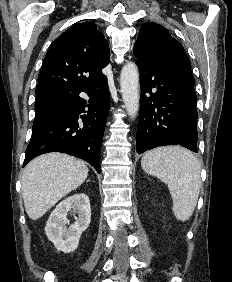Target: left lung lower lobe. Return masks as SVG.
I'll return each instance as SVG.
<instances>
[{"label":"left lung lower lobe","mask_w":232,"mask_h":282,"mask_svg":"<svg viewBox=\"0 0 232 282\" xmlns=\"http://www.w3.org/2000/svg\"><path fill=\"white\" fill-rule=\"evenodd\" d=\"M140 71L138 154L164 145L197 150V96L191 63L180 58L136 60Z\"/></svg>","instance_id":"obj_1"}]
</instances>
